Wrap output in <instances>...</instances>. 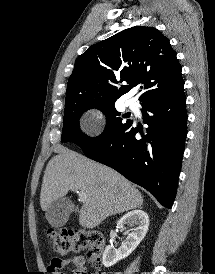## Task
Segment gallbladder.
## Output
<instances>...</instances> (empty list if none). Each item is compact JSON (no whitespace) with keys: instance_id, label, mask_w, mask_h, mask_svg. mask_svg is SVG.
Instances as JSON below:
<instances>
[{"instance_id":"gallbladder-1","label":"gallbladder","mask_w":215,"mask_h":274,"mask_svg":"<svg viewBox=\"0 0 215 274\" xmlns=\"http://www.w3.org/2000/svg\"><path fill=\"white\" fill-rule=\"evenodd\" d=\"M73 210L72 202L65 197H60L49 205L45 211V217L52 227H61L65 225Z\"/></svg>"}]
</instances>
